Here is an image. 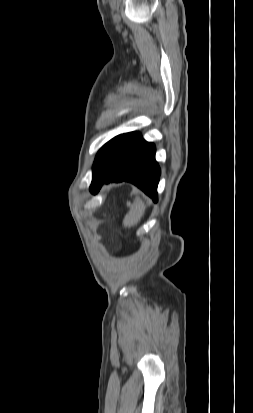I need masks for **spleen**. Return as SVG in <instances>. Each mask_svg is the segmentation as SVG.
I'll use <instances>...</instances> for the list:
<instances>
[{"mask_svg":"<svg viewBox=\"0 0 253 413\" xmlns=\"http://www.w3.org/2000/svg\"><path fill=\"white\" fill-rule=\"evenodd\" d=\"M146 209L145 203L136 198L133 204L130 206L129 212L126 214L123 220L124 227H132L135 226L142 218Z\"/></svg>","mask_w":253,"mask_h":413,"instance_id":"3e777b00","label":"spleen"}]
</instances>
